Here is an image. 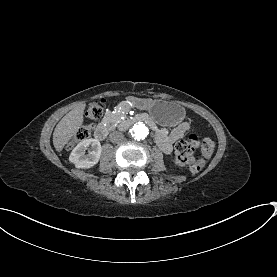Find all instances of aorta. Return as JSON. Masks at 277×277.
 Instances as JSON below:
<instances>
[{"label": "aorta", "instance_id": "762f6f07", "mask_svg": "<svg viewBox=\"0 0 277 277\" xmlns=\"http://www.w3.org/2000/svg\"><path fill=\"white\" fill-rule=\"evenodd\" d=\"M148 131H149L148 127L145 124H143L142 122L135 123L131 127V129L129 130L130 135L135 140H143V139H145L146 136L149 133Z\"/></svg>", "mask_w": 277, "mask_h": 277}]
</instances>
